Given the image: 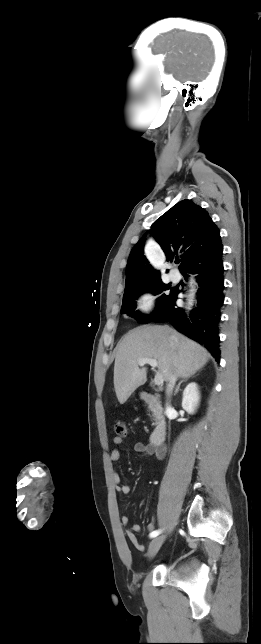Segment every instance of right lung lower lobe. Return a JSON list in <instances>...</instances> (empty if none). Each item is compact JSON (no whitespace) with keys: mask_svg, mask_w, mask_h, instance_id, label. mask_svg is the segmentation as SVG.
Masks as SVG:
<instances>
[{"mask_svg":"<svg viewBox=\"0 0 261 644\" xmlns=\"http://www.w3.org/2000/svg\"><path fill=\"white\" fill-rule=\"evenodd\" d=\"M188 271L198 274L196 277L199 289L197 304L189 315L176 304V294L164 309L153 319L154 322H170L173 327L203 345L216 361H220L219 323L221 308L224 302L223 262L221 257L210 263L187 267L181 273L186 276Z\"/></svg>","mask_w":261,"mask_h":644,"instance_id":"right-lung-lower-lobe-1","label":"right lung lower lobe"}]
</instances>
